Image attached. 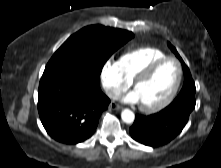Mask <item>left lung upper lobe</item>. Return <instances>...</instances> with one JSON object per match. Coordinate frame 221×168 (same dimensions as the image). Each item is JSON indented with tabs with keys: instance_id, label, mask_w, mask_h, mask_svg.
<instances>
[{
	"instance_id": "1",
	"label": "left lung upper lobe",
	"mask_w": 221,
	"mask_h": 168,
	"mask_svg": "<svg viewBox=\"0 0 221 168\" xmlns=\"http://www.w3.org/2000/svg\"><path fill=\"white\" fill-rule=\"evenodd\" d=\"M168 46L182 63V67H183V71H184V84H183L182 90H194L195 91L196 90L195 83L192 79V76H191V73H190L188 67L186 66V64L184 63V61L182 60V58L180 57V55L176 51V49L169 42H168Z\"/></svg>"
}]
</instances>
